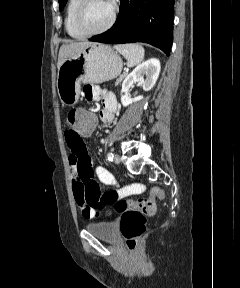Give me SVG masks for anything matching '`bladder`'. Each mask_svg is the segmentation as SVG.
<instances>
[{"instance_id": "obj_1", "label": "bladder", "mask_w": 240, "mask_h": 288, "mask_svg": "<svg viewBox=\"0 0 240 288\" xmlns=\"http://www.w3.org/2000/svg\"><path fill=\"white\" fill-rule=\"evenodd\" d=\"M85 228L92 235L108 242H114L117 238V228L113 222H92L88 223Z\"/></svg>"}]
</instances>
